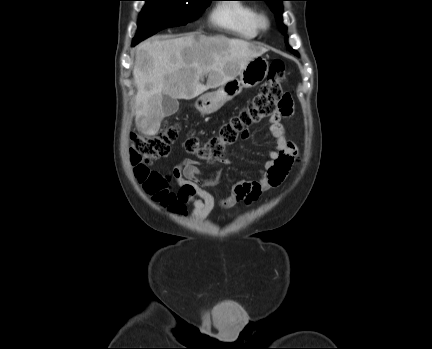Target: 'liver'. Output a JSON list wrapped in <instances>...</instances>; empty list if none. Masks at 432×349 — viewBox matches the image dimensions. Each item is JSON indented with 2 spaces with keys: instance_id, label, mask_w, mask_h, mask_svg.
I'll return each instance as SVG.
<instances>
[{
  "instance_id": "obj_1",
  "label": "liver",
  "mask_w": 432,
  "mask_h": 349,
  "mask_svg": "<svg viewBox=\"0 0 432 349\" xmlns=\"http://www.w3.org/2000/svg\"><path fill=\"white\" fill-rule=\"evenodd\" d=\"M265 52V47L242 39L199 33L140 43L133 66L137 128L155 135L164 118L163 95L195 98L235 79L252 59ZM204 75L208 76L206 85L200 82Z\"/></svg>"
}]
</instances>
